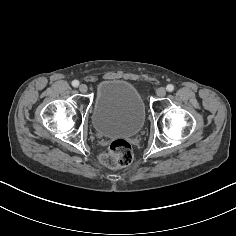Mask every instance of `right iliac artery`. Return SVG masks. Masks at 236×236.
<instances>
[{"instance_id": "82829eb1", "label": "right iliac artery", "mask_w": 236, "mask_h": 236, "mask_svg": "<svg viewBox=\"0 0 236 236\" xmlns=\"http://www.w3.org/2000/svg\"><path fill=\"white\" fill-rule=\"evenodd\" d=\"M78 85H79V81L78 80L72 81V86L73 87H77Z\"/></svg>"}]
</instances>
